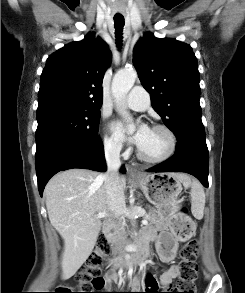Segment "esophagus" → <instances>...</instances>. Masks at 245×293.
<instances>
[{
  "mask_svg": "<svg viewBox=\"0 0 245 293\" xmlns=\"http://www.w3.org/2000/svg\"><path fill=\"white\" fill-rule=\"evenodd\" d=\"M128 173L130 176H138L139 175V172L137 171V169H135L133 167H129Z\"/></svg>",
  "mask_w": 245,
  "mask_h": 293,
  "instance_id": "obj_1",
  "label": "esophagus"
}]
</instances>
